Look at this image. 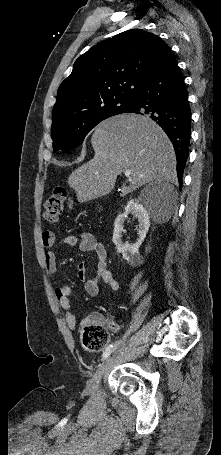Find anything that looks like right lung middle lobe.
Returning a JSON list of instances; mask_svg holds the SVG:
<instances>
[{
    "label": "right lung middle lobe",
    "instance_id": "obj_1",
    "mask_svg": "<svg viewBox=\"0 0 221 455\" xmlns=\"http://www.w3.org/2000/svg\"><path fill=\"white\" fill-rule=\"evenodd\" d=\"M131 99H110L67 118L52 122L53 150L69 151L78 147L85 136L101 121L124 113Z\"/></svg>",
    "mask_w": 221,
    "mask_h": 455
}]
</instances>
